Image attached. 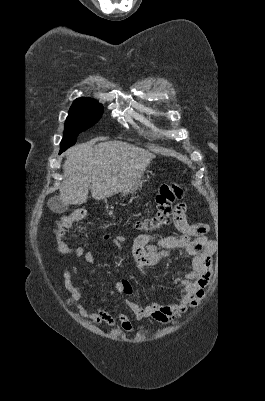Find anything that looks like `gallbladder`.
Wrapping results in <instances>:
<instances>
[{
    "label": "gallbladder",
    "mask_w": 265,
    "mask_h": 401,
    "mask_svg": "<svg viewBox=\"0 0 265 401\" xmlns=\"http://www.w3.org/2000/svg\"><path fill=\"white\" fill-rule=\"evenodd\" d=\"M47 205L50 211H53V213H65V211H68L69 207L67 203H63V201H61L60 196H51V198H48Z\"/></svg>",
    "instance_id": "obj_1"
}]
</instances>
